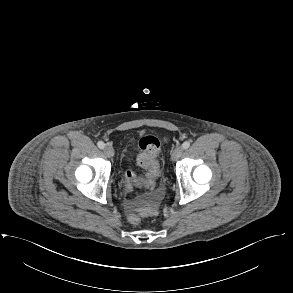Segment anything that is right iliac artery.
I'll list each match as a JSON object with an SVG mask.
<instances>
[{"mask_svg": "<svg viewBox=\"0 0 293 293\" xmlns=\"http://www.w3.org/2000/svg\"><path fill=\"white\" fill-rule=\"evenodd\" d=\"M97 145H98V147H99L100 149H103V148L105 147V144H104V142H102V141H99V142L97 143Z\"/></svg>", "mask_w": 293, "mask_h": 293, "instance_id": "1", "label": "right iliac artery"}]
</instances>
